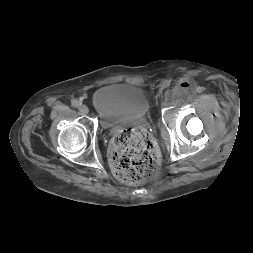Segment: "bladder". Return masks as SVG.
Returning <instances> with one entry per match:
<instances>
[{
	"label": "bladder",
	"mask_w": 253,
	"mask_h": 253,
	"mask_svg": "<svg viewBox=\"0 0 253 253\" xmlns=\"http://www.w3.org/2000/svg\"><path fill=\"white\" fill-rule=\"evenodd\" d=\"M91 102L96 114L107 122L142 118L151 106L145 90L130 83L102 86L94 92Z\"/></svg>",
	"instance_id": "obj_1"
}]
</instances>
